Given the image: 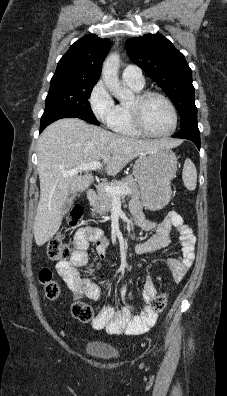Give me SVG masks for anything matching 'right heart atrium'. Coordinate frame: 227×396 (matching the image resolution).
Wrapping results in <instances>:
<instances>
[{"mask_svg":"<svg viewBox=\"0 0 227 396\" xmlns=\"http://www.w3.org/2000/svg\"><path fill=\"white\" fill-rule=\"evenodd\" d=\"M88 101L94 116L99 121L108 123L114 113L116 105L102 80H99L93 86Z\"/></svg>","mask_w":227,"mask_h":396,"instance_id":"right-heart-atrium-1","label":"right heart atrium"}]
</instances>
